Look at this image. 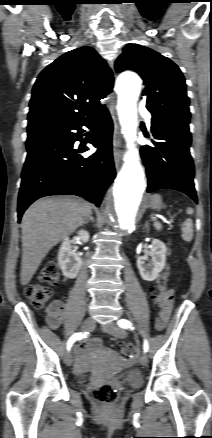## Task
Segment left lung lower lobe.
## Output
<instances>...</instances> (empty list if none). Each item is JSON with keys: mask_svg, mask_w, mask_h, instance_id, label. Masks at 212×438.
Wrapping results in <instances>:
<instances>
[{"mask_svg": "<svg viewBox=\"0 0 212 438\" xmlns=\"http://www.w3.org/2000/svg\"><path fill=\"white\" fill-rule=\"evenodd\" d=\"M155 147L145 146L141 156L148 177L147 192L169 188L181 191L197 202L194 164L189 152L191 133L186 124L152 121Z\"/></svg>", "mask_w": 212, "mask_h": 438, "instance_id": "left-lung-lower-lobe-1", "label": "left lung lower lobe"}]
</instances>
